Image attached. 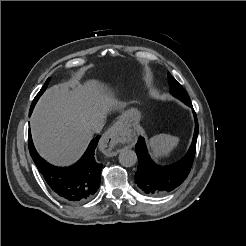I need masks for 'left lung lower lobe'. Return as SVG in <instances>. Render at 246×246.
<instances>
[{
  "mask_svg": "<svg viewBox=\"0 0 246 246\" xmlns=\"http://www.w3.org/2000/svg\"><path fill=\"white\" fill-rule=\"evenodd\" d=\"M184 103L192 107L190 100ZM193 113L195 118V131L192 144L186 155L180 161L172 165H156L148 154L144 138L139 137L135 149L138 156V169L135 174V183L145 194L151 196L166 194L183 183L188 176L196 152V142L199 131L194 110Z\"/></svg>",
  "mask_w": 246,
  "mask_h": 246,
  "instance_id": "0a47b994",
  "label": "left lung lower lobe"
}]
</instances>
